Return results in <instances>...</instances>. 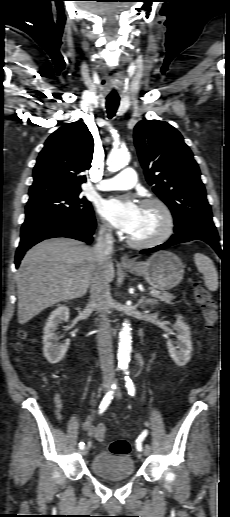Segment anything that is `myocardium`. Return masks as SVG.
Returning <instances> with one entry per match:
<instances>
[{"mask_svg":"<svg viewBox=\"0 0 230 517\" xmlns=\"http://www.w3.org/2000/svg\"><path fill=\"white\" fill-rule=\"evenodd\" d=\"M154 205L162 214L163 228L155 237L147 240H137L130 235L127 238L128 243L135 248H150L165 242L173 234L175 228V219L170 207L160 198L150 197L142 201L141 206Z\"/></svg>","mask_w":230,"mask_h":517,"instance_id":"myocardium-1","label":"myocardium"}]
</instances>
